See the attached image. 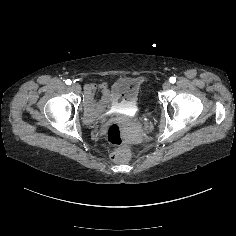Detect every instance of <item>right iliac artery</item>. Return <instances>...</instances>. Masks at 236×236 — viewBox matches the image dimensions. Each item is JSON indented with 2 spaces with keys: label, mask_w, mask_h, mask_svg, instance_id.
I'll return each mask as SVG.
<instances>
[{
  "label": "right iliac artery",
  "mask_w": 236,
  "mask_h": 236,
  "mask_svg": "<svg viewBox=\"0 0 236 236\" xmlns=\"http://www.w3.org/2000/svg\"><path fill=\"white\" fill-rule=\"evenodd\" d=\"M65 83H66L67 85H71L72 81H71L70 79H67V80L65 81Z\"/></svg>",
  "instance_id": "1"
}]
</instances>
